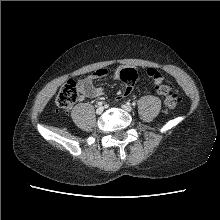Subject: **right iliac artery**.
I'll return each instance as SVG.
<instances>
[{
  "label": "right iliac artery",
  "mask_w": 220,
  "mask_h": 220,
  "mask_svg": "<svg viewBox=\"0 0 220 220\" xmlns=\"http://www.w3.org/2000/svg\"><path fill=\"white\" fill-rule=\"evenodd\" d=\"M102 104H103V102H102V101L98 102V105H99V106H101Z\"/></svg>",
  "instance_id": "82829eb1"
}]
</instances>
